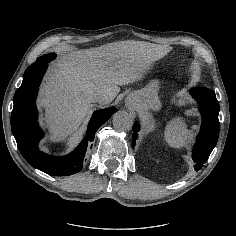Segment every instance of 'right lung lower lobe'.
Here are the masks:
<instances>
[{
	"instance_id": "obj_1",
	"label": "right lung lower lobe",
	"mask_w": 236,
	"mask_h": 236,
	"mask_svg": "<svg viewBox=\"0 0 236 236\" xmlns=\"http://www.w3.org/2000/svg\"><path fill=\"white\" fill-rule=\"evenodd\" d=\"M47 64L25 71L23 82L17 89L11 114V129L17 146L25 160L34 168L51 176H68L83 168L88 142L94 140L95 132L117 109L107 108L96 111L88 125L86 137L70 154L64 157L51 156L39 151L38 142L43 132L37 123L36 96Z\"/></svg>"
}]
</instances>
